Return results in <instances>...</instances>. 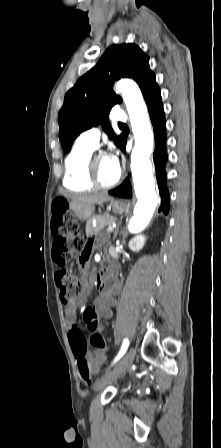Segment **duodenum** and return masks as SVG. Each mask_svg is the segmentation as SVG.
Listing matches in <instances>:
<instances>
[{"mask_svg": "<svg viewBox=\"0 0 221 448\" xmlns=\"http://www.w3.org/2000/svg\"><path fill=\"white\" fill-rule=\"evenodd\" d=\"M108 263H106L105 267L98 274V284L100 288H104L108 284Z\"/></svg>", "mask_w": 221, "mask_h": 448, "instance_id": "obj_1", "label": "duodenum"}]
</instances>
